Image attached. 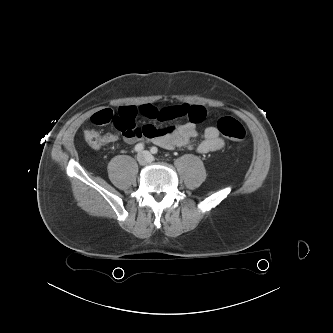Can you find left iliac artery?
Masks as SVG:
<instances>
[{
    "mask_svg": "<svg viewBox=\"0 0 333 333\" xmlns=\"http://www.w3.org/2000/svg\"><path fill=\"white\" fill-rule=\"evenodd\" d=\"M151 153L152 154H157L158 153V148L153 146L151 149H150Z\"/></svg>",
    "mask_w": 333,
    "mask_h": 333,
    "instance_id": "44dca946",
    "label": "left iliac artery"
}]
</instances>
